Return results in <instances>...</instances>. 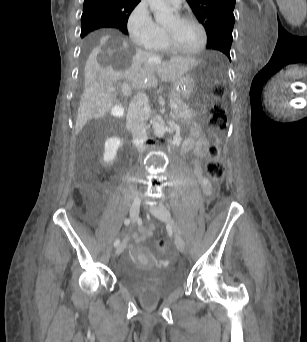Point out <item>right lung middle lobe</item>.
<instances>
[{"label":"right lung middle lobe","mask_w":307,"mask_h":342,"mask_svg":"<svg viewBox=\"0 0 307 342\" xmlns=\"http://www.w3.org/2000/svg\"><path fill=\"white\" fill-rule=\"evenodd\" d=\"M81 23V37H84L87 33L93 30L107 27L110 23V20L104 14L88 11L83 12L81 17ZM123 33L128 34V31H123Z\"/></svg>","instance_id":"obj_1"}]
</instances>
